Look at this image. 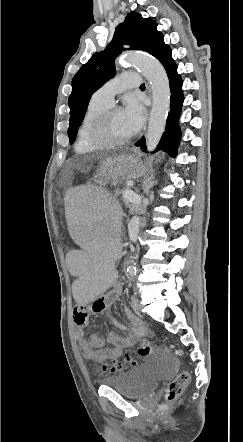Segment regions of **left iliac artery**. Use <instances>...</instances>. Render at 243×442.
<instances>
[{"instance_id": "44dca946", "label": "left iliac artery", "mask_w": 243, "mask_h": 442, "mask_svg": "<svg viewBox=\"0 0 243 442\" xmlns=\"http://www.w3.org/2000/svg\"><path fill=\"white\" fill-rule=\"evenodd\" d=\"M129 275H130L131 277H133L134 275H136V272H134V271H130V272H129Z\"/></svg>"}]
</instances>
